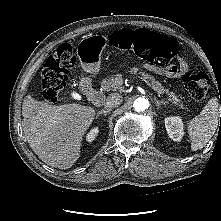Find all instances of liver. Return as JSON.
Listing matches in <instances>:
<instances>
[{"label":"liver","instance_id":"6515ba94","mask_svg":"<svg viewBox=\"0 0 221 221\" xmlns=\"http://www.w3.org/2000/svg\"><path fill=\"white\" fill-rule=\"evenodd\" d=\"M96 110L77 103L53 105L27 95L22 105L23 131L32 150L46 164L72 167Z\"/></svg>","mask_w":221,"mask_h":221}]
</instances>
